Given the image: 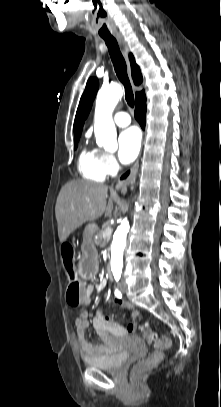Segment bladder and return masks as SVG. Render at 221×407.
Here are the masks:
<instances>
[{
  "mask_svg": "<svg viewBox=\"0 0 221 407\" xmlns=\"http://www.w3.org/2000/svg\"><path fill=\"white\" fill-rule=\"evenodd\" d=\"M132 341L136 345V350L139 353L144 354L146 352V344L142 339L134 337ZM128 358L129 354L127 352L116 349L101 358L87 359L85 360V364L103 371H117Z\"/></svg>",
  "mask_w": 221,
  "mask_h": 407,
  "instance_id": "bladder-1",
  "label": "bladder"
}]
</instances>
